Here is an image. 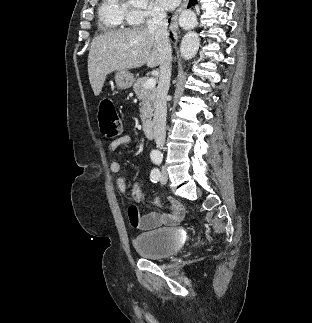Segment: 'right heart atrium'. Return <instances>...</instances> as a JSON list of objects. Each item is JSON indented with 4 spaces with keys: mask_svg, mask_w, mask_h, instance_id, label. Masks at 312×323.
I'll use <instances>...</instances> for the list:
<instances>
[{
    "mask_svg": "<svg viewBox=\"0 0 312 323\" xmlns=\"http://www.w3.org/2000/svg\"><path fill=\"white\" fill-rule=\"evenodd\" d=\"M126 15L135 22H151V17H166L167 12L162 6H142L141 10H128Z\"/></svg>",
    "mask_w": 312,
    "mask_h": 323,
    "instance_id": "1",
    "label": "right heart atrium"
}]
</instances>
